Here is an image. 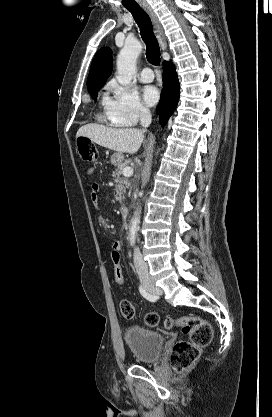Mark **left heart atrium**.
Segmentation results:
<instances>
[{"label": "left heart atrium", "instance_id": "obj_1", "mask_svg": "<svg viewBox=\"0 0 272 417\" xmlns=\"http://www.w3.org/2000/svg\"><path fill=\"white\" fill-rule=\"evenodd\" d=\"M143 98L147 105L153 106L158 102L160 93L156 87L146 86L143 90Z\"/></svg>", "mask_w": 272, "mask_h": 417}]
</instances>
